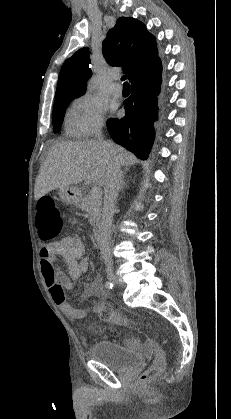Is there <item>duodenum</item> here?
Segmentation results:
<instances>
[{"instance_id": "obj_1", "label": "duodenum", "mask_w": 231, "mask_h": 419, "mask_svg": "<svg viewBox=\"0 0 231 419\" xmlns=\"http://www.w3.org/2000/svg\"><path fill=\"white\" fill-rule=\"evenodd\" d=\"M101 227H100V225L99 224H94V226H93V234H94V237H95V239L98 241V240H100L101 239Z\"/></svg>"}]
</instances>
